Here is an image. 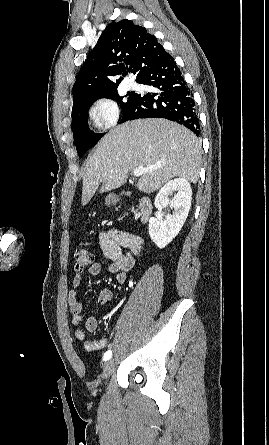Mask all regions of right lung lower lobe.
<instances>
[{
    "label": "right lung lower lobe",
    "instance_id": "right-lung-lower-lobe-1",
    "mask_svg": "<svg viewBox=\"0 0 269 445\" xmlns=\"http://www.w3.org/2000/svg\"><path fill=\"white\" fill-rule=\"evenodd\" d=\"M138 83L153 86L155 92L138 94L126 120L138 118H166L186 126L196 136L200 135V123L192 93L181 71L168 55L152 66Z\"/></svg>",
    "mask_w": 269,
    "mask_h": 445
}]
</instances>
